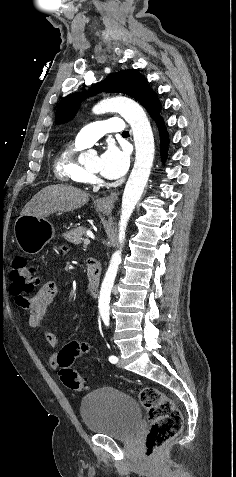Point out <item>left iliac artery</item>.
I'll return each mask as SVG.
<instances>
[{
  "label": "left iliac artery",
  "mask_w": 236,
  "mask_h": 477,
  "mask_svg": "<svg viewBox=\"0 0 236 477\" xmlns=\"http://www.w3.org/2000/svg\"><path fill=\"white\" fill-rule=\"evenodd\" d=\"M105 324H106L107 326L109 325L108 322H106ZM109 361H110L111 363L115 364V363L118 362V358H117L116 356L112 355V356L109 357Z\"/></svg>",
  "instance_id": "obj_1"
}]
</instances>
